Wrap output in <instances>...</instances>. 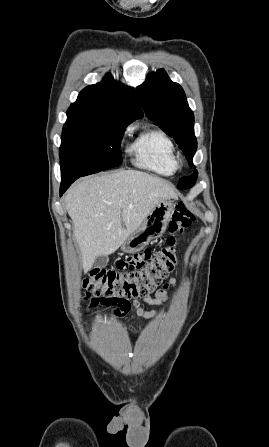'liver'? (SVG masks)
I'll list each match as a JSON object with an SVG mask.
<instances>
[{
  "label": "liver",
  "mask_w": 269,
  "mask_h": 447,
  "mask_svg": "<svg viewBox=\"0 0 269 447\" xmlns=\"http://www.w3.org/2000/svg\"><path fill=\"white\" fill-rule=\"evenodd\" d=\"M178 200L170 182L136 170L84 178L65 196L86 273L96 257L116 251L162 200Z\"/></svg>",
  "instance_id": "liver-1"
}]
</instances>
